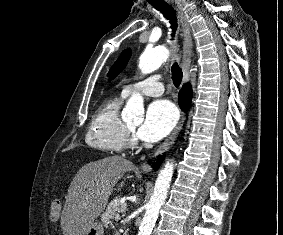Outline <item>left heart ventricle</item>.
I'll return each mask as SVG.
<instances>
[{
    "label": "left heart ventricle",
    "mask_w": 283,
    "mask_h": 235,
    "mask_svg": "<svg viewBox=\"0 0 283 235\" xmlns=\"http://www.w3.org/2000/svg\"><path fill=\"white\" fill-rule=\"evenodd\" d=\"M131 130H135V128L137 127V125H135V124H128L127 125Z\"/></svg>",
    "instance_id": "1"
}]
</instances>
